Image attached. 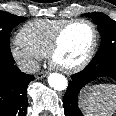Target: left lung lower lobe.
I'll return each instance as SVG.
<instances>
[{"mask_svg":"<svg viewBox=\"0 0 116 116\" xmlns=\"http://www.w3.org/2000/svg\"><path fill=\"white\" fill-rule=\"evenodd\" d=\"M102 78L116 81V56L93 58L86 68L71 76L63 98L65 116H83L78 107L79 94L86 85Z\"/></svg>","mask_w":116,"mask_h":116,"instance_id":"obj_1","label":"left lung lower lobe"}]
</instances>
